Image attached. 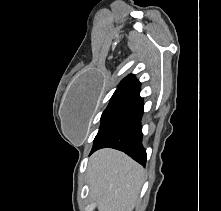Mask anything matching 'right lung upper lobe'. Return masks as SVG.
Here are the masks:
<instances>
[{"mask_svg":"<svg viewBox=\"0 0 221 211\" xmlns=\"http://www.w3.org/2000/svg\"><path fill=\"white\" fill-rule=\"evenodd\" d=\"M140 85V82L136 80L135 76L130 74L120 82L116 91H135L139 93Z\"/></svg>","mask_w":221,"mask_h":211,"instance_id":"right-lung-upper-lobe-1","label":"right lung upper lobe"}]
</instances>
